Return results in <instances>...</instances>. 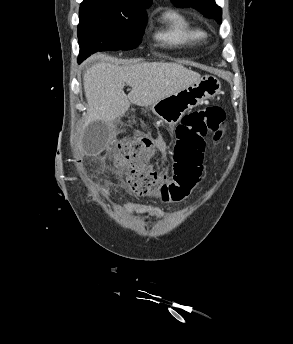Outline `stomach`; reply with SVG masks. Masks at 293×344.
<instances>
[{
  "label": "stomach",
  "instance_id": "0dacf381",
  "mask_svg": "<svg viewBox=\"0 0 293 344\" xmlns=\"http://www.w3.org/2000/svg\"><path fill=\"white\" fill-rule=\"evenodd\" d=\"M221 89V82L213 75H205L191 86L178 93L155 102L151 109L163 122L170 126L177 124L185 112L213 98Z\"/></svg>",
  "mask_w": 293,
  "mask_h": 344
}]
</instances>
